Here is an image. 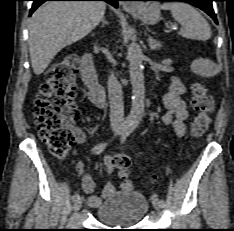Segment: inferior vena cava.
Listing matches in <instances>:
<instances>
[{"label": "inferior vena cava", "mask_w": 234, "mask_h": 231, "mask_svg": "<svg viewBox=\"0 0 234 231\" xmlns=\"http://www.w3.org/2000/svg\"><path fill=\"white\" fill-rule=\"evenodd\" d=\"M108 97L111 126H121L124 122L122 87L113 73L108 78Z\"/></svg>", "instance_id": "1"}]
</instances>
